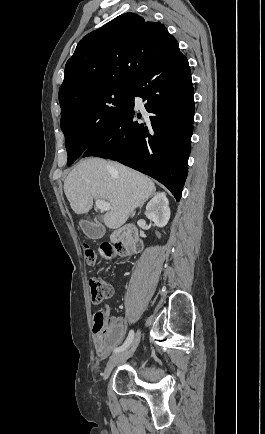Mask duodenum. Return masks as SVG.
Segmentation results:
<instances>
[{
    "label": "duodenum",
    "mask_w": 265,
    "mask_h": 434,
    "mask_svg": "<svg viewBox=\"0 0 265 434\" xmlns=\"http://www.w3.org/2000/svg\"><path fill=\"white\" fill-rule=\"evenodd\" d=\"M132 229H137V228L134 226L128 225V226H125L123 228L116 229V230L112 231V233L110 235V241L112 243H115L119 240H123L126 242V244L128 246V240L130 238ZM128 250H129V248H128Z\"/></svg>",
    "instance_id": "obj_1"
}]
</instances>
